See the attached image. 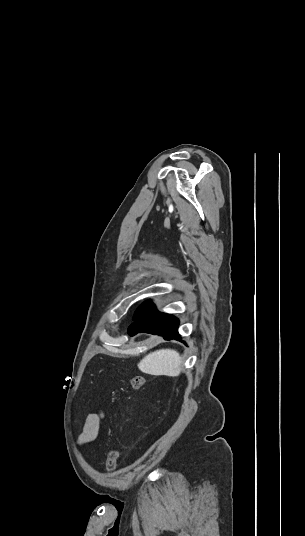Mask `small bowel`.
I'll return each instance as SVG.
<instances>
[{"instance_id":"obj_1","label":"small bowel","mask_w":305,"mask_h":536,"mask_svg":"<svg viewBox=\"0 0 305 536\" xmlns=\"http://www.w3.org/2000/svg\"><path fill=\"white\" fill-rule=\"evenodd\" d=\"M101 418L102 414L100 413H90L87 415L83 431L79 437V442L81 444L94 441L99 436Z\"/></svg>"}]
</instances>
